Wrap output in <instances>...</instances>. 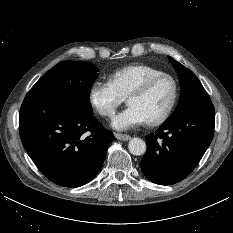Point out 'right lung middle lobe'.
<instances>
[{
  "label": "right lung middle lobe",
  "instance_id": "dd1d6c3e",
  "mask_svg": "<svg viewBox=\"0 0 233 233\" xmlns=\"http://www.w3.org/2000/svg\"><path fill=\"white\" fill-rule=\"evenodd\" d=\"M97 72L98 68L90 62L63 61L44 74L28 95L64 97L92 115L89 96Z\"/></svg>",
  "mask_w": 233,
  "mask_h": 233
}]
</instances>
